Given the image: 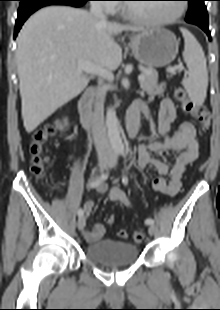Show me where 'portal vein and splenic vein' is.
Wrapping results in <instances>:
<instances>
[{
  "instance_id": "1",
  "label": "portal vein and splenic vein",
  "mask_w": 220,
  "mask_h": 310,
  "mask_svg": "<svg viewBox=\"0 0 220 310\" xmlns=\"http://www.w3.org/2000/svg\"><path fill=\"white\" fill-rule=\"evenodd\" d=\"M176 69H183L182 67H170L168 69L169 72H173ZM78 70L79 71H85L86 73L89 74H93V75H98L100 77L106 78L109 81H113L114 79V75L111 71L102 68V67H98L90 62H80L78 65ZM145 79V76L143 74L138 76V81L141 82Z\"/></svg>"
}]
</instances>
